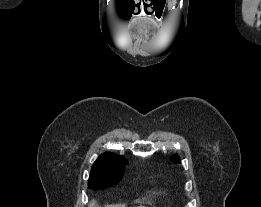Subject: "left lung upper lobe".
<instances>
[{"instance_id": "obj_1", "label": "left lung upper lobe", "mask_w": 261, "mask_h": 207, "mask_svg": "<svg viewBox=\"0 0 261 207\" xmlns=\"http://www.w3.org/2000/svg\"><path fill=\"white\" fill-rule=\"evenodd\" d=\"M171 161L179 163L180 159L178 156L175 155V156L171 157Z\"/></svg>"}]
</instances>
